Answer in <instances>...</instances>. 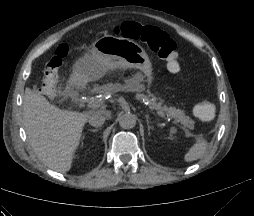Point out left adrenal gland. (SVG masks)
<instances>
[{
	"label": "left adrenal gland",
	"mask_w": 254,
	"mask_h": 216,
	"mask_svg": "<svg viewBox=\"0 0 254 216\" xmlns=\"http://www.w3.org/2000/svg\"><path fill=\"white\" fill-rule=\"evenodd\" d=\"M146 121H147V129H148V133L150 134V131H151V127H150V124H149V116L146 115Z\"/></svg>",
	"instance_id": "1"
}]
</instances>
